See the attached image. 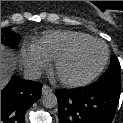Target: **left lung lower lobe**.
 I'll return each mask as SVG.
<instances>
[{"label": "left lung lower lobe", "mask_w": 123, "mask_h": 123, "mask_svg": "<svg viewBox=\"0 0 123 123\" xmlns=\"http://www.w3.org/2000/svg\"><path fill=\"white\" fill-rule=\"evenodd\" d=\"M121 85L96 81L79 89H58L59 123H112Z\"/></svg>", "instance_id": "1"}]
</instances>
